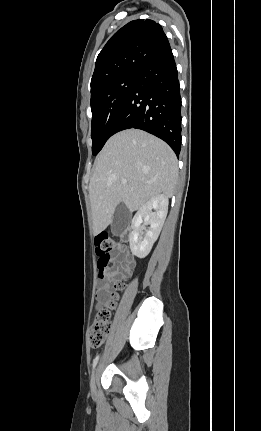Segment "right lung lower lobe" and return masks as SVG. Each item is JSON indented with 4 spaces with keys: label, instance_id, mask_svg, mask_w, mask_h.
<instances>
[{
    "label": "right lung lower lobe",
    "instance_id": "98d812e1",
    "mask_svg": "<svg viewBox=\"0 0 261 431\" xmlns=\"http://www.w3.org/2000/svg\"><path fill=\"white\" fill-rule=\"evenodd\" d=\"M130 128L141 129L159 137L179 157L181 97L171 48L140 70L112 134Z\"/></svg>",
    "mask_w": 261,
    "mask_h": 431
}]
</instances>
